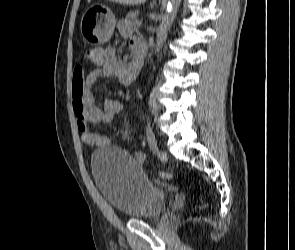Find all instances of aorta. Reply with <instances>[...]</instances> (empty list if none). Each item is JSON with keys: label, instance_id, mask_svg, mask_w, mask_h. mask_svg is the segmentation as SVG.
I'll return each instance as SVG.
<instances>
[{"label": "aorta", "instance_id": "1", "mask_svg": "<svg viewBox=\"0 0 295 250\" xmlns=\"http://www.w3.org/2000/svg\"><path fill=\"white\" fill-rule=\"evenodd\" d=\"M180 2L181 0H169L168 2L166 13L163 15L157 30L155 53H159L167 39L168 31L170 30L171 24L176 17Z\"/></svg>", "mask_w": 295, "mask_h": 250}]
</instances>
